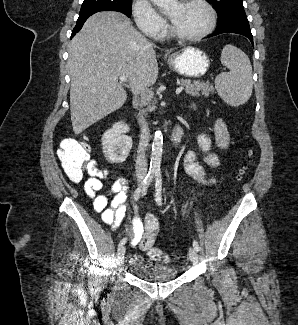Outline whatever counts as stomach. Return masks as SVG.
<instances>
[{"label": "stomach", "mask_w": 298, "mask_h": 325, "mask_svg": "<svg viewBox=\"0 0 298 325\" xmlns=\"http://www.w3.org/2000/svg\"><path fill=\"white\" fill-rule=\"evenodd\" d=\"M167 64L171 70L187 76V78H198L206 74L210 66V58L202 48L197 46H184L177 52H173L166 58Z\"/></svg>", "instance_id": "1"}]
</instances>
